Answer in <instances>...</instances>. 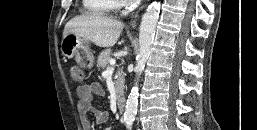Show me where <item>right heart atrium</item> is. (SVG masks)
Listing matches in <instances>:
<instances>
[{"mask_svg": "<svg viewBox=\"0 0 257 130\" xmlns=\"http://www.w3.org/2000/svg\"><path fill=\"white\" fill-rule=\"evenodd\" d=\"M128 2V0H120L121 4H126Z\"/></svg>", "mask_w": 257, "mask_h": 130, "instance_id": "1", "label": "right heart atrium"}]
</instances>
